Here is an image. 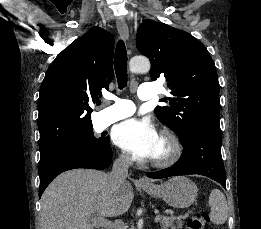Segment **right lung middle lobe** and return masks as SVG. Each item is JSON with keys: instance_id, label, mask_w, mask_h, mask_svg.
Returning a JSON list of instances; mask_svg holds the SVG:
<instances>
[{"instance_id": "right-lung-middle-lobe-1", "label": "right lung middle lobe", "mask_w": 261, "mask_h": 229, "mask_svg": "<svg viewBox=\"0 0 261 229\" xmlns=\"http://www.w3.org/2000/svg\"><path fill=\"white\" fill-rule=\"evenodd\" d=\"M107 144H109L108 137L96 138L92 130L65 144L59 145L54 148L40 150V159L60 152L101 150Z\"/></svg>"}]
</instances>
